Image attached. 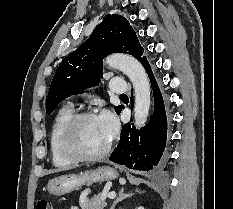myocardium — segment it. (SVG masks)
Listing matches in <instances>:
<instances>
[{"label":"myocardium","instance_id":"1","mask_svg":"<svg viewBox=\"0 0 233 209\" xmlns=\"http://www.w3.org/2000/svg\"><path fill=\"white\" fill-rule=\"evenodd\" d=\"M90 117H96V114L88 110L75 113L71 116V118L68 120V122L66 123L64 127L62 138H61V149H62L64 156L70 161H73V162L97 161L103 158L104 156H106L111 149V146H112L111 139L108 140L107 144L102 150H100L99 152L95 154H91V155L81 154L77 152L75 148L73 147V141H74V136H75L77 126L79 125L81 121H83L84 119L90 118Z\"/></svg>","mask_w":233,"mask_h":209}]
</instances>
